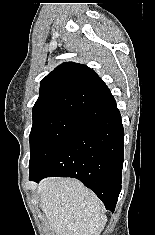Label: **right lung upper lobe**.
<instances>
[{"mask_svg": "<svg viewBox=\"0 0 155 235\" xmlns=\"http://www.w3.org/2000/svg\"><path fill=\"white\" fill-rule=\"evenodd\" d=\"M100 83L104 82L86 65L65 62L42 79L33 113L60 111L89 123L96 121L99 117L94 113L87 91Z\"/></svg>", "mask_w": 155, "mask_h": 235, "instance_id": "obj_1", "label": "right lung upper lobe"}]
</instances>
